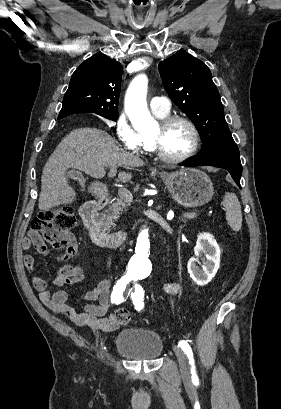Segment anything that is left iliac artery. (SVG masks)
Wrapping results in <instances>:
<instances>
[{"instance_id":"obj_1","label":"left iliac artery","mask_w":281,"mask_h":409,"mask_svg":"<svg viewBox=\"0 0 281 409\" xmlns=\"http://www.w3.org/2000/svg\"><path fill=\"white\" fill-rule=\"evenodd\" d=\"M133 280L135 284L133 288L130 289V292H131L130 297L133 301L135 309L140 311L144 307V303H143L144 291H143V288L139 284L136 283L137 278H134ZM179 346L184 351V353L188 356L189 362L191 364L192 378L196 379L197 376L195 373L194 359H193L192 349L190 345L186 341L182 340L179 342Z\"/></svg>"}]
</instances>
